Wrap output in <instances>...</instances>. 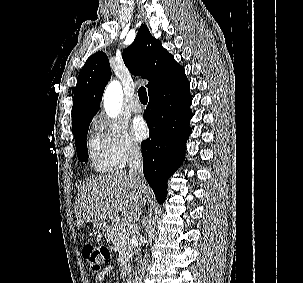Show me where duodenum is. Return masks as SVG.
Here are the masks:
<instances>
[{
  "label": "duodenum",
  "mask_w": 303,
  "mask_h": 283,
  "mask_svg": "<svg viewBox=\"0 0 303 283\" xmlns=\"http://www.w3.org/2000/svg\"><path fill=\"white\" fill-rule=\"evenodd\" d=\"M123 276L127 280V283H132L131 282V276H130V268L129 266L125 265L122 268Z\"/></svg>",
  "instance_id": "410a0bca"
}]
</instances>
